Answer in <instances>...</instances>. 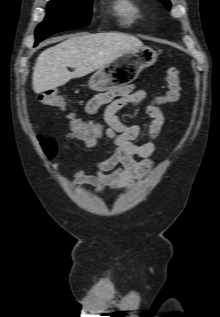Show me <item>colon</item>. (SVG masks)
Wrapping results in <instances>:
<instances>
[{"mask_svg": "<svg viewBox=\"0 0 220 317\" xmlns=\"http://www.w3.org/2000/svg\"><path fill=\"white\" fill-rule=\"evenodd\" d=\"M181 94L180 74L176 68H169L166 72V91L161 97L162 103L176 102ZM40 101L43 105L48 107H61L64 105V98L55 90H46L40 96ZM74 127H79L78 121H73ZM37 142L43 155L51 159L58 150V144L50 136L39 134L37 136Z\"/></svg>", "mask_w": 220, "mask_h": 317, "instance_id": "5ec220e1", "label": "colon"}]
</instances>
